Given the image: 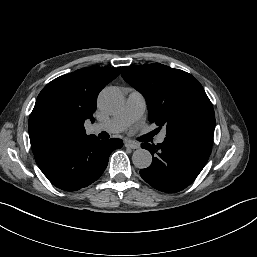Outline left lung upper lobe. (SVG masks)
<instances>
[{
    "label": "left lung upper lobe",
    "mask_w": 257,
    "mask_h": 257,
    "mask_svg": "<svg viewBox=\"0 0 257 257\" xmlns=\"http://www.w3.org/2000/svg\"><path fill=\"white\" fill-rule=\"evenodd\" d=\"M121 75L147 102L149 121L166 127V138L213 136L215 114L202 85L191 74L154 63L122 67Z\"/></svg>",
    "instance_id": "5c2ea615"
}]
</instances>
